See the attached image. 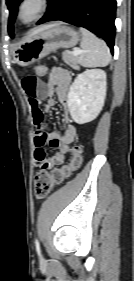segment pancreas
I'll list each match as a JSON object with an SVG mask.
<instances>
[{
  "label": "pancreas",
  "instance_id": "1",
  "mask_svg": "<svg viewBox=\"0 0 134 281\" xmlns=\"http://www.w3.org/2000/svg\"><path fill=\"white\" fill-rule=\"evenodd\" d=\"M62 57L66 64H68L70 67H72L75 70H79L77 56L73 55L69 51H65V52H63Z\"/></svg>",
  "mask_w": 134,
  "mask_h": 281
}]
</instances>
